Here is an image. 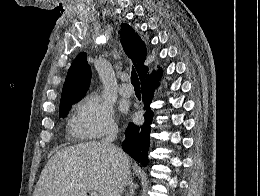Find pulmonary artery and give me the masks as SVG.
Wrapping results in <instances>:
<instances>
[{"label": "pulmonary artery", "mask_w": 260, "mask_h": 196, "mask_svg": "<svg viewBox=\"0 0 260 196\" xmlns=\"http://www.w3.org/2000/svg\"><path fill=\"white\" fill-rule=\"evenodd\" d=\"M120 94L123 97H131L134 93L133 87L129 85H122L119 89Z\"/></svg>", "instance_id": "1"}]
</instances>
